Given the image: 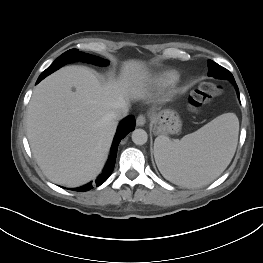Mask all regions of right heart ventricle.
Segmentation results:
<instances>
[{
  "label": "right heart ventricle",
  "mask_w": 263,
  "mask_h": 263,
  "mask_svg": "<svg viewBox=\"0 0 263 263\" xmlns=\"http://www.w3.org/2000/svg\"><path fill=\"white\" fill-rule=\"evenodd\" d=\"M179 79V73L175 70H166L157 76L156 81L160 85L169 86L176 83Z\"/></svg>",
  "instance_id": "obj_1"
}]
</instances>
